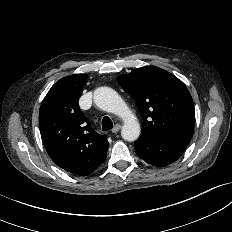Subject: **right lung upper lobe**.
Instances as JSON below:
<instances>
[{"label":"right lung upper lobe","instance_id":"obj_1","mask_svg":"<svg viewBox=\"0 0 232 232\" xmlns=\"http://www.w3.org/2000/svg\"><path fill=\"white\" fill-rule=\"evenodd\" d=\"M87 75L60 79L45 96L39 111L43 144L53 162L67 172L87 176L106 159L109 143L96 133L79 108Z\"/></svg>","mask_w":232,"mask_h":232}]
</instances>
